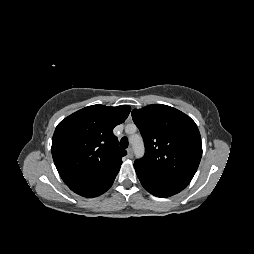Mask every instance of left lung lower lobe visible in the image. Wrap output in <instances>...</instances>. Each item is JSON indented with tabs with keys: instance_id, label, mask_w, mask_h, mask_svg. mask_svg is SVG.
<instances>
[{
	"instance_id": "0a47b994",
	"label": "left lung lower lobe",
	"mask_w": 254,
	"mask_h": 254,
	"mask_svg": "<svg viewBox=\"0 0 254 254\" xmlns=\"http://www.w3.org/2000/svg\"><path fill=\"white\" fill-rule=\"evenodd\" d=\"M134 168L142 186L157 197L175 195L189 184V181L154 174L135 163Z\"/></svg>"
}]
</instances>
